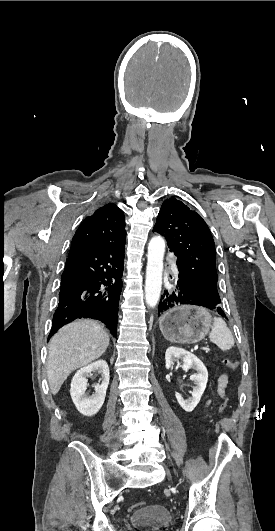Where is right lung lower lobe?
Masks as SVG:
<instances>
[{"label": "right lung lower lobe", "mask_w": 275, "mask_h": 531, "mask_svg": "<svg viewBox=\"0 0 275 531\" xmlns=\"http://www.w3.org/2000/svg\"><path fill=\"white\" fill-rule=\"evenodd\" d=\"M124 245L104 243L68 255L48 340L77 318L100 320L116 336Z\"/></svg>", "instance_id": "obj_1"}]
</instances>
